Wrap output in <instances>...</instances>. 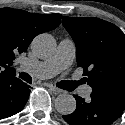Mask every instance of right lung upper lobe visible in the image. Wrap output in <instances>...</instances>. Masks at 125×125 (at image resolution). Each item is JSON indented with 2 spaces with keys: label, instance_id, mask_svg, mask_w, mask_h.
Returning <instances> with one entry per match:
<instances>
[{
  "label": "right lung upper lobe",
  "instance_id": "right-lung-upper-lobe-1",
  "mask_svg": "<svg viewBox=\"0 0 125 125\" xmlns=\"http://www.w3.org/2000/svg\"><path fill=\"white\" fill-rule=\"evenodd\" d=\"M61 14H36L20 9H0V80L15 77L11 67L33 38L59 26Z\"/></svg>",
  "mask_w": 125,
  "mask_h": 125
}]
</instances>
